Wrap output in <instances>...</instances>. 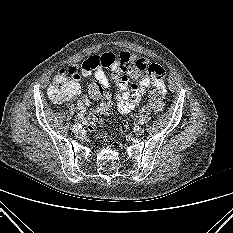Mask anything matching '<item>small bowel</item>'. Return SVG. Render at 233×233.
<instances>
[{"mask_svg":"<svg viewBox=\"0 0 233 233\" xmlns=\"http://www.w3.org/2000/svg\"><path fill=\"white\" fill-rule=\"evenodd\" d=\"M103 68H110L112 80L116 85L117 108L121 113H128L135 109L141 102L146 88L152 83L165 91L163 83L164 70L161 66L149 62L144 58H137L128 51H120L115 54L106 51L101 55L91 56L80 66L71 65L60 71L71 76L73 94L67 99H75L81 93V74L94 76L103 87H109V80ZM129 77L138 79V83L129 86ZM90 104V97L82 95L78 101L79 116L82 119L85 106Z\"/></svg>","mask_w":233,"mask_h":233,"instance_id":"small-bowel-1","label":"small bowel"}]
</instances>
